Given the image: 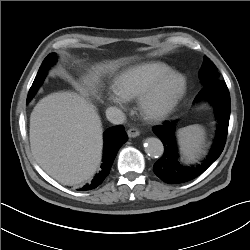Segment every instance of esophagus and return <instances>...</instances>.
Listing matches in <instances>:
<instances>
[{
    "label": "esophagus",
    "mask_w": 250,
    "mask_h": 250,
    "mask_svg": "<svg viewBox=\"0 0 250 250\" xmlns=\"http://www.w3.org/2000/svg\"><path fill=\"white\" fill-rule=\"evenodd\" d=\"M127 135L130 137V138H135L137 136L140 135V131L136 128H130L128 131H127Z\"/></svg>",
    "instance_id": "1"
}]
</instances>
